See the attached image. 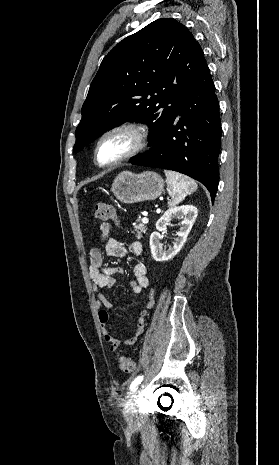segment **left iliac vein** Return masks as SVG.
I'll return each mask as SVG.
<instances>
[{
  "label": "left iliac vein",
  "mask_w": 279,
  "mask_h": 465,
  "mask_svg": "<svg viewBox=\"0 0 279 465\" xmlns=\"http://www.w3.org/2000/svg\"><path fill=\"white\" fill-rule=\"evenodd\" d=\"M136 388L133 393L130 395L126 408H125V419L129 425H135L138 421L137 414V399L138 392Z\"/></svg>",
  "instance_id": "obj_1"
}]
</instances>
